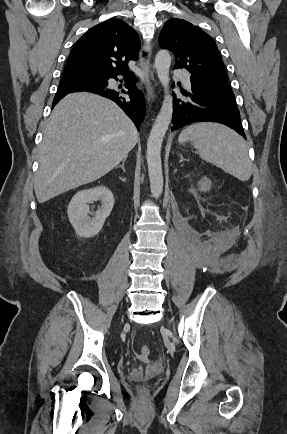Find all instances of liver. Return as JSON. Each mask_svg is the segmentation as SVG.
Here are the masks:
<instances>
[{"instance_id":"1","label":"liver","mask_w":287,"mask_h":434,"mask_svg":"<svg viewBox=\"0 0 287 434\" xmlns=\"http://www.w3.org/2000/svg\"><path fill=\"white\" fill-rule=\"evenodd\" d=\"M43 135L34 181L39 203L103 177L139 138L131 119L113 101L87 92L66 95Z\"/></svg>"}]
</instances>
